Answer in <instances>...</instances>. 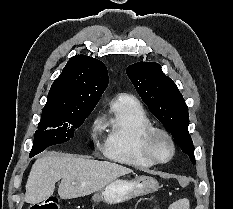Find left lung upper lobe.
<instances>
[{
	"label": "left lung upper lobe",
	"mask_w": 233,
	"mask_h": 209,
	"mask_svg": "<svg viewBox=\"0 0 233 209\" xmlns=\"http://www.w3.org/2000/svg\"><path fill=\"white\" fill-rule=\"evenodd\" d=\"M126 72L150 111L195 164L194 146L188 132V106L176 84L154 62H137L130 65Z\"/></svg>",
	"instance_id": "1"
}]
</instances>
